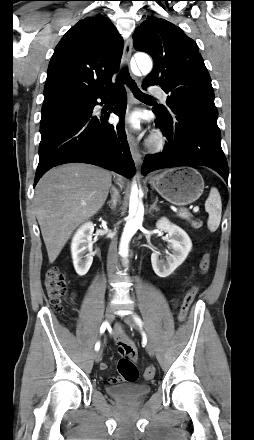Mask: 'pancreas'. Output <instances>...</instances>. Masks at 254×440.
Here are the masks:
<instances>
[{
  "mask_svg": "<svg viewBox=\"0 0 254 440\" xmlns=\"http://www.w3.org/2000/svg\"><path fill=\"white\" fill-rule=\"evenodd\" d=\"M192 227H194L195 229H198L202 226L201 222H197V221H192L191 222Z\"/></svg>",
  "mask_w": 254,
  "mask_h": 440,
  "instance_id": "pancreas-1",
  "label": "pancreas"
}]
</instances>
